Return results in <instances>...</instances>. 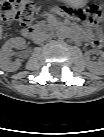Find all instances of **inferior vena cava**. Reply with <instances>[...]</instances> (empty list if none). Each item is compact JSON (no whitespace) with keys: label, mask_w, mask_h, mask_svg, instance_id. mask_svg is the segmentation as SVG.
Masks as SVG:
<instances>
[{"label":"inferior vena cava","mask_w":104,"mask_h":137,"mask_svg":"<svg viewBox=\"0 0 104 137\" xmlns=\"http://www.w3.org/2000/svg\"><path fill=\"white\" fill-rule=\"evenodd\" d=\"M47 34L44 32H38L35 34L33 40L35 43L39 44L41 42H43L46 38H47Z\"/></svg>","instance_id":"obj_1"}]
</instances>
